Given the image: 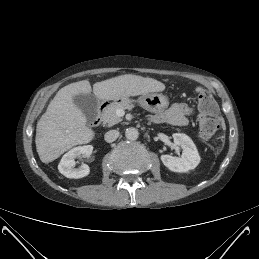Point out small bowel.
<instances>
[{
    "instance_id": "1",
    "label": "small bowel",
    "mask_w": 259,
    "mask_h": 259,
    "mask_svg": "<svg viewBox=\"0 0 259 259\" xmlns=\"http://www.w3.org/2000/svg\"><path fill=\"white\" fill-rule=\"evenodd\" d=\"M194 114V109L185 103H177L162 113L155 114L153 121L157 123H170L175 126H185Z\"/></svg>"
}]
</instances>
